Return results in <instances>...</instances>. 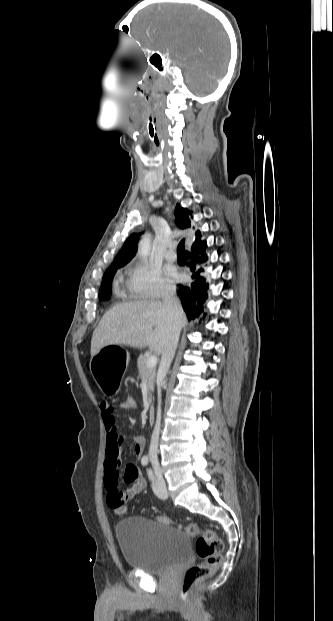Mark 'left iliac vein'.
Masks as SVG:
<instances>
[{
	"label": "left iliac vein",
	"mask_w": 333,
	"mask_h": 621,
	"mask_svg": "<svg viewBox=\"0 0 333 621\" xmlns=\"http://www.w3.org/2000/svg\"><path fill=\"white\" fill-rule=\"evenodd\" d=\"M156 488L154 489L155 494L161 498L166 499L168 497L166 484L163 479L161 472L156 473Z\"/></svg>",
	"instance_id": "4c4485c4"
}]
</instances>
